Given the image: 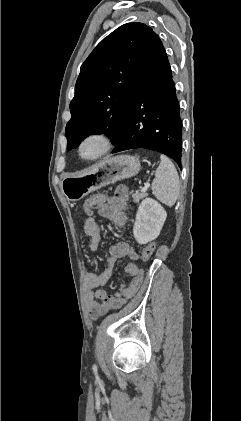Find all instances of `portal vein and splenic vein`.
<instances>
[{
  "label": "portal vein and splenic vein",
  "mask_w": 241,
  "mask_h": 421,
  "mask_svg": "<svg viewBox=\"0 0 241 421\" xmlns=\"http://www.w3.org/2000/svg\"><path fill=\"white\" fill-rule=\"evenodd\" d=\"M150 186V179L147 180V182L144 184V187L141 188V192L145 193L147 191V189Z\"/></svg>",
  "instance_id": "1"
}]
</instances>
